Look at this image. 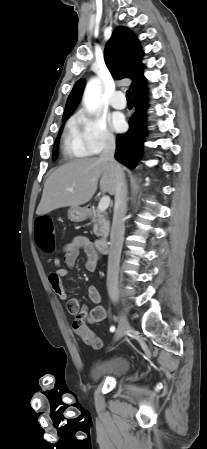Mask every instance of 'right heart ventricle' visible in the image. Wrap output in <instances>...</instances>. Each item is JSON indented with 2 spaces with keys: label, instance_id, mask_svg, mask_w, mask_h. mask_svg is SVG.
<instances>
[{
  "label": "right heart ventricle",
  "instance_id": "e07e8e85",
  "mask_svg": "<svg viewBox=\"0 0 207 449\" xmlns=\"http://www.w3.org/2000/svg\"><path fill=\"white\" fill-rule=\"evenodd\" d=\"M62 151L70 159L86 157L89 154L81 141L75 119L68 122L63 138Z\"/></svg>",
  "mask_w": 207,
  "mask_h": 449
}]
</instances>
